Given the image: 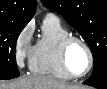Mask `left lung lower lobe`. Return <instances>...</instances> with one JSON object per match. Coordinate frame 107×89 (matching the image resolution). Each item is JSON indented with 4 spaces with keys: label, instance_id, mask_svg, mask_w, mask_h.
Segmentation results:
<instances>
[{
    "label": "left lung lower lobe",
    "instance_id": "left-lung-lower-lobe-1",
    "mask_svg": "<svg viewBox=\"0 0 107 89\" xmlns=\"http://www.w3.org/2000/svg\"><path fill=\"white\" fill-rule=\"evenodd\" d=\"M83 84L98 89H107V64L101 67L95 74L83 82Z\"/></svg>",
    "mask_w": 107,
    "mask_h": 89
}]
</instances>
